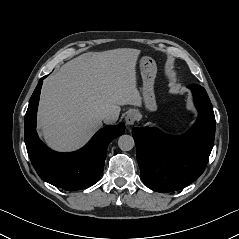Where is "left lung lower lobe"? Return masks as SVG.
Masks as SVG:
<instances>
[{
  "label": "left lung lower lobe",
  "instance_id": "left-lung-lower-lobe-1",
  "mask_svg": "<svg viewBox=\"0 0 239 239\" xmlns=\"http://www.w3.org/2000/svg\"><path fill=\"white\" fill-rule=\"evenodd\" d=\"M193 93L199 116L182 136H169L157 128H133L136 156L143 182L157 192H172L189 185L204 171L215 137V116L207 92L196 84Z\"/></svg>",
  "mask_w": 239,
  "mask_h": 239
}]
</instances>
